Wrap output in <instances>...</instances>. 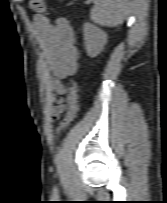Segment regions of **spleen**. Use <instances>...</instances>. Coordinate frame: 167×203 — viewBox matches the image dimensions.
<instances>
[{"mask_svg":"<svg viewBox=\"0 0 167 203\" xmlns=\"http://www.w3.org/2000/svg\"><path fill=\"white\" fill-rule=\"evenodd\" d=\"M127 15V0H95L90 19L107 27H116L123 23Z\"/></svg>","mask_w":167,"mask_h":203,"instance_id":"1","label":"spleen"}]
</instances>
